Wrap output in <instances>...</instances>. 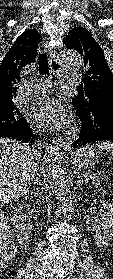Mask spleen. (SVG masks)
I'll return each mask as SVG.
<instances>
[{
  "instance_id": "obj_1",
  "label": "spleen",
  "mask_w": 113,
  "mask_h": 279,
  "mask_svg": "<svg viewBox=\"0 0 113 279\" xmlns=\"http://www.w3.org/2000/svg\"><path fill=\"white\" fill-rule=\"evenodd\" d=\"M96 145H97L99 148L108 151L109 154H110V156L113 157V142H109V141H106V142H98V143H96Z\"/></svg>"
}]
</instances>
